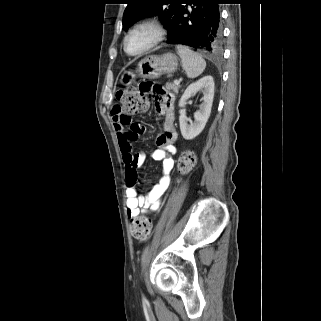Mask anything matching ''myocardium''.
Segmentation results:
<instances>
[{
  "label": "myocardium",
  "instance_id": "f54148a6",
  "mask_svg": "<svg viewBox=\"0 0 321 321\" xmlns=\"http://www.w3.org/2000/svg\"><path fill=\"white\" fill-rule=\"evenodd\" d=\"M139 29H148L152 33V39L149 42L147 46H145L143 49H141L138 52L131 53L127 49V41L131 34H133L135 31ZM166 35V29L164 25L157 19L149 18L142 20L136 24H134L125 34L123 38V49L125 53L129 56H141L150 50H152L154 47H156L160 42L163 41Z\"/></svg>",
  "mask_w": 321,
  "mask_h": 321
}]
</instances>
